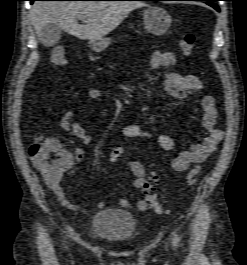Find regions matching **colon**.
<instances>
[{"label":"colon","instance_id":"5ec220e1","mask_svg":"<svg viewBox=\"0 0 247 265\" xmlns=\"http://www.w3.org/2000/svg\"><path fill=\"white\" fill-rule=\"evenodd\" d=\"M195 44V36L191 33L183 35L179 40V47L184 55L192 53ZM51 63L54 66H63L65 64V52L61 47H55L50 56ZM29 154L31 158L39 165L40 168L51 174H64L70 166V158L66 152L57 144L48 143L46 139L37 137L29 146ZM124 150L122 147H115L110 151V159L112 161L122 158ZM200 173V167L194 166L188 173V181L193 182ZM157 175L153 176L157 180ZM150 202L153 210L157 214H164L165 208L159 202L155 194H150Z\"/></svg>","mask_w":247,"mask_h":265}]
</instances>
